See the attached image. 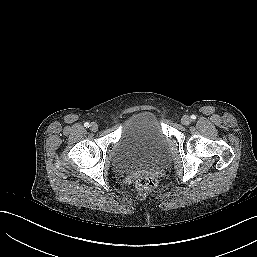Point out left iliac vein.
<instances>
[{
  "instance_id": "1",
  "label": "left iliac vein",
  "mask_w": 257,
  "mask_h": 257,
  "mask_svg": "<svg viewBox=\"0 0 257 257\" xmlns=\"http://www.w3.org/2000/svg\"><path fill=\"white\" fill-rule=\"evenodd\" d=\"M191 122V119L188 115H184L182 118H181V123L183 125H189Z\"/></svg>"
}]
</instances>
